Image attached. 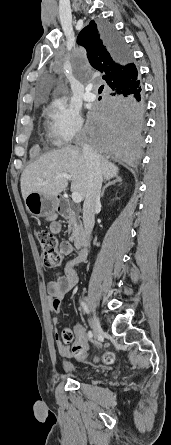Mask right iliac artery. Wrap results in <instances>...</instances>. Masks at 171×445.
Here are the masks:
<instances>
[{"label":"right iliac artery","instance_id":"obj_1","mask_svg":"<svg viewBox=\"0 0 171 445\" xmlns=\"http://www.w3.org/2000/svg\"><path fill=\"white\" fill-rule=\"evenodd\" d=\"M81 304H82L84 310L87 312L88 310H87V307H86L85 303L81 302ZM88 337H89V338H92V337H93V333H92L91 330L88 331Z\"/></svg>","mask_w":171,"mask_h":445}]
</instances>
